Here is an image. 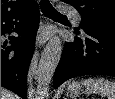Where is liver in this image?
I'll return each instance as SVG.
<instances>
[{
	"label": "liver",
	"instance_id": "1",
	"mask_svg": "<svg viewBox=\"0 0 115 99\" xmlns=\"http://www.w3.org/2000/svg\"><path fill=\"white\" fill-rule=\"evenodd\" d=\"M1 99H15V96L12 92L1 88Z\"/></svg>",
	"mask_w": 115,
	"mask_h": 99
}]
</instances>
